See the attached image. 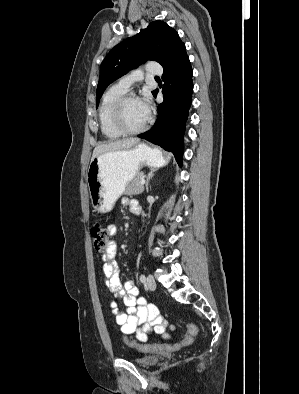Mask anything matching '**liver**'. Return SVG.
<instances>
[{
	"instance_id": "1",
	"label": "liver",
	"mask_w": 299,
	"mask_h": 394,
	"mask_svg": "<svg viewBox=\"0 0 299 394\" xmlns=\"http://www.w3.org/2000/svg\"><path fill=\"white\" fill-rule=\"evenodd\" d=\"M139 141L140 140L137 138H128V139L113 141L109 143H100L95 147L93 151L92 159L106 152L131 149L136 144H138Z\"/></svg>"
}]
</instances>
